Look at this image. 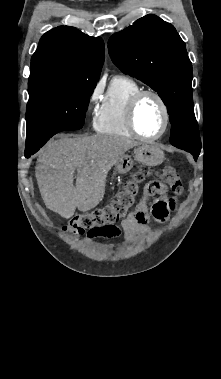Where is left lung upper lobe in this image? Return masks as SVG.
<instances>
[{
	"label": "left lung upper lobe",
	"instance_id": "5c2ea615",
	"mask_svg": "<svg viewBox=\"0 0 221 379\" xmlns=\"http://www.w3.org/2000/svg\"><path fill=\"white\" fill-rule=\"evenodd\" d=\"M108 49L123 73L149 85L167 106L171 144L199 156L201 140L192 99V64L175 28L155 15H146L112 35Z\"/></svg>",
	"mask_w": 221,
	"mask_h": 379
}]
</instances>
